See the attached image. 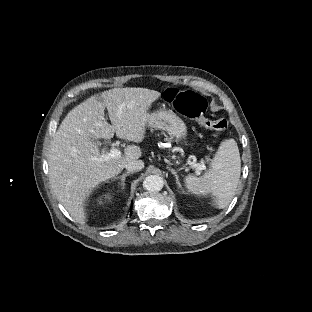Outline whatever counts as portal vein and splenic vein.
I'll return each instance as SVG.
<instances>
[{
    "instance_id": "18ae733b",
    "label": "portal vein and splenic vein",
    "mask_w": 312,
    "mask_h": 312,
    "mask_svg": "<svg viewBox=\"0 0 312 312\" xmlns=\"http://www.w3.org/2000/svg\"><path fill=\"white\" fill-rule=\"evenodd\" d=\"M119 155H120V151L114 147H111L108 153H104L100 155L99 157H93V161H94L95 166H99L100 164L109 160L110 158H116ZM193 167L196 168V174H200V172L204 170L206 166L204 162H201V163L195 164Z\"/></svg>"
}]
</instances>
